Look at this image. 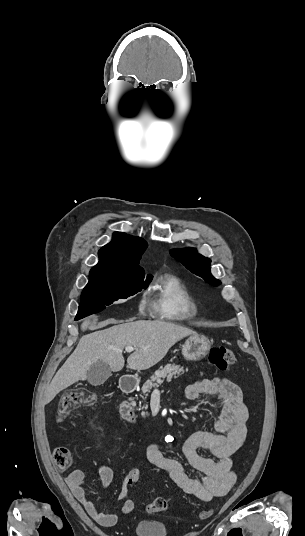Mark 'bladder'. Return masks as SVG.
<instances>
[{
  "label": "bladder",
  "mask_w": 305,
  "mask_h": 536,
  "mask_svg": "<svg viewBox=\"0 0 305 536\" xmlns=\"http://www.w3.org/2000/svg\"><path fill=\"white\" fill-rule=\"evenodd\" d=\"M136 536H169L168 524L162 521L139 519L134 524Z\"/></svg>",
  "instance_id": "bladder-1"
}]
</instances>
